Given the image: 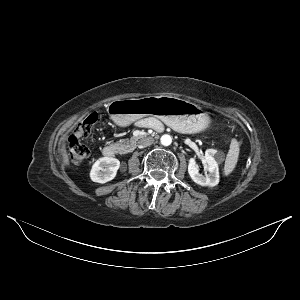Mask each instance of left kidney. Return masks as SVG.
I'll return each instance as SVG.
<instances>
[{
	"label": "left kidney",
	"instance_id": "left-kidney-1",
	"mask_svg": "<svg viewBox=\"0 0 300 300\" xmlns=\"http://www.w3.org/2000/svg\"><path fill=\"white\" fill-rule=\"evenodd\" d=\"M222 160V156L215 149H207L204 156V170L209 174L202 175L199 173L198 165L194 158L189 159L188 173L192 180L201 185L214 187L219 183V167L218 161Z\"/></svg>",
	"mask_w": 300,
	"mask_h": 300
}]
</instances>
